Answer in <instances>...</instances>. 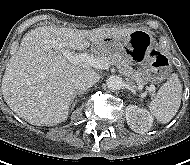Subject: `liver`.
Segmentation results:
<instances>
[{
	"label": "liver",
	"mask_w": 190,
	"mask_h": 165,
	"mask_svg": "<svg viewBox=\"0 0 190 165\" xmlns=\"http://www.w3.org/2000/svg\"><path fill=\"white\" fill-rule=\"evenodd\" d=\"M134 29L96 28L77 30L42 26L28 32L10 58L2 78L5 102L19 117L38 126L65 121L75 92V80L85 64H72L62 51L84 50L108 37H126Z\"/></svg>",
	"instance_id": "liver-1"
}]
</instances>
